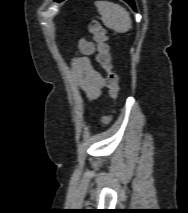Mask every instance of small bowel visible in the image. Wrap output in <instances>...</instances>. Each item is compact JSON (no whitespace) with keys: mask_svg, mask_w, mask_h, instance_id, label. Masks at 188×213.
<instances>
[{"mask_svg":"<svg viewBox=\"0 0 188 213\" xmlns=\"http://www.w3.org/2000/svg\"><path fill=\"white\" fill-rule=\"evenodd\" d=\"M78 49L79 54L71 62L73 78L87 99L95 100L104 88V80L90 59L95 52V45L91 41L81 39Z\"/></svg>","mask_w":188,"mask_h":213,"instance_id":"obj_1","label":"small bowel"}]
</instances>
